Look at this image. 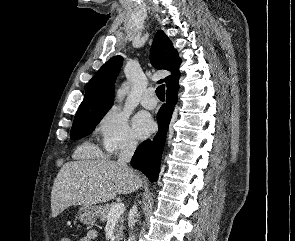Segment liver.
I'll list each match as a JSON object with an SVG mask.
<instances>
[{
    "mask_svg": "<svg viewBox=\"0 0 295 241\" xmlns=\"http://www.w3.org/2000/svg\"><path fill=\"white\" fill-rule=\"evenodd\" d=\"M142 178L133 170L108 160H82L65 163L58 172L51 192L52 217L72 205H95L117 194L134 192Z\"/></svg>",
    "mask_w": 295,
    "mask_h": 241,
    "instance_id": "6515ba94",
    "label": "liver"
}]
</instances>
